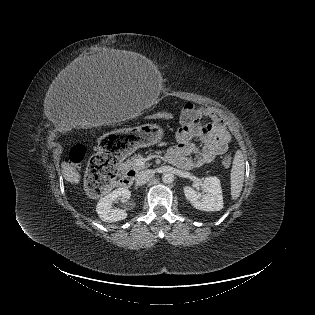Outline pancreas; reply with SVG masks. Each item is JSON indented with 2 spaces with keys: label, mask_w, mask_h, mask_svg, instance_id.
Here are the masks:
<instances>
[{
  "label": "pancreas",
  "mask_w": 315,
  "mask_h": 315,
  "mask_svg": "<svg viewBox=\"0 0 315 315\" xmlns=\"http://www.w3.org/2000/svg\"><path fill=\"white\" fill-rule=\"evenodd\" d=\"M157 153L160 154L161 152L157 151ZM142 158H143V156L140 154L132 156L130 159H128L126 161L127 169H131V170H134L136 172H139V171L143 170L144 168L148 167V163L138 165V161Z\"/></svg>",
  "instance_id": "pancreas-1"
}]
</instances>
